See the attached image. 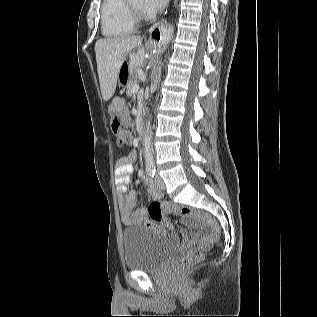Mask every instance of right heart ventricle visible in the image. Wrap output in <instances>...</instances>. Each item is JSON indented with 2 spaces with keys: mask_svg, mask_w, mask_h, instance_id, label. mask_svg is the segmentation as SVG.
I'll use <instances>...</instances> for the list:
<instances>
[{
  "mask_svg": "<svg viewBox=\"0 0 317 317\" xmlns=\"http://www.w3.org/2000/svg\"><path fill=\"white\" fill-rule=\"evenodd\" d=\"M128 0H103L101 6V32L107 38L128 35L135 30Z\"/></svg>",
  "mask_w": 317,
  "mask_h": 317,
  "instance_id": "right-heart-ventricle-1",
  "label": "right heart ventricle"
}]
</instances>
